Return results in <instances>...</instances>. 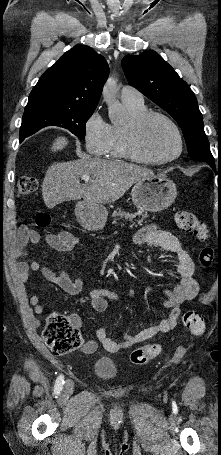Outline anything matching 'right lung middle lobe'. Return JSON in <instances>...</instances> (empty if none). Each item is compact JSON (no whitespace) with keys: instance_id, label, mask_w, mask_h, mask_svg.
I'll list each match as a JSON object with an SVG mask.
<instances>
[{"instance_id":"right-lung-middle-lobe-1","label":"right lung middle lobe","mask_w":221,"mask_h":455,"mask_svg":"<svg viewBox=\"0 0 221 455\" xmlns=\"http://www.w3.org/2000/svg\"><path fill=\"white\" fill-rule=\"evenodd\" d=\"M95 109L71 108L50 104L27 105L20 128V142L46 126H59L83 140L85 123Z\"/></svg>"}]
</instances>
